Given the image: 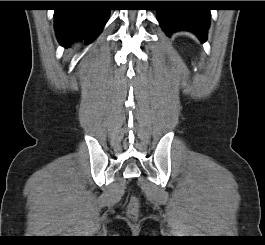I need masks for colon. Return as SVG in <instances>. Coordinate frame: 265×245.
Returning a JSON list of instances; mask_svg holds the SVG:
<instances>
[{
  "label": "colon",
  "instance_id": "colon-1",
  "mask_svg": "<svg viewBox=\"0 0 265 245\" xmlns=\"http://www.w3.org/2000/svg\"><path fill=\"white\" fill-rule=\"evenodd\" d=\"M138 210H139V201L137 198L133 197L129 204H128V208H127V216L130 219H135L138 216Z\"/></svg>",
  "mask_w": 265,
  "mask_h": 245
}]
</instances>
